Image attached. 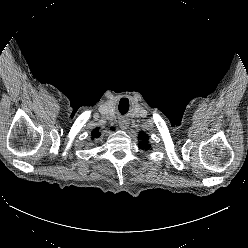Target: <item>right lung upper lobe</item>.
Returning <instances> with one entry per match:
<instances>
[{"label":"right lung upper lobe","instance_id":"cb5924a9","mask_svg":"<svg viewBox=\"0 0 248 248\" xmlns=\"http://www.w3.org/2000/svg\"><path fill=\"white\" fill-rule=\"evenodd\" d=\"M99 136H100L99 128H96L95 130L92 131L93 138H98Z\"/></svg>","mask_w":248,"mask_h":248}]
</instances>
